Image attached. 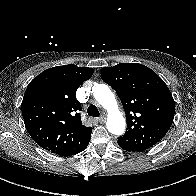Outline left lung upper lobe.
Here are the masks:
<instances>
[{"label": "left lung upper lobe", "instance_id": "left-lung-upper-lobe-1", "mask_svg": "<svg viewBox=\"0 0 196 196\" xmlns=\"http://www.w3.org/2000/svg\"><path fill=\"white\" fill-rule=\"evenodd\" d=\"M101 78L121 99L126 114V133L119 137L144 151L159 142L170 129L175 102L165 82L150 68L120 63L101 69Z\"/></svg>", "mask_w": 196, "mask_h": 196}]
</instances>
